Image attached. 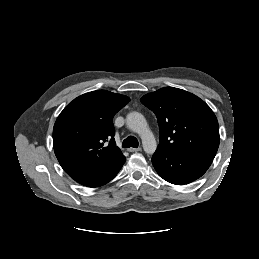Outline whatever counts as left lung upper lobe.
<instances>
[{
    "label": "left lung upper lobe",
    "instance_id": "5c2ea615",
    "mask_svg": "<svg viewBox=\"0 0 259 259\" xmlns=\"http://www.w3.org/2000/svg\"><path fill=\"white\" fill-rule=\"evenodd\" d=\"M158 120V148L188 157L214 158L219 147L218 121L210 107L185 90L166 87L141 98Z\"/></svg>",
    "mask_w": 259,
    "mask_h": 259
}]
</instances>
